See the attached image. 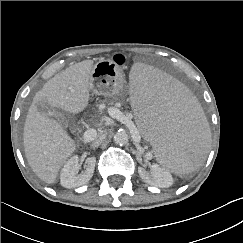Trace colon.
Returning a JSON list of instances; mask_svg holds the SVG:
<instances>
[{"instance_id":"obj_1","label":"colon","mask_w":243,"mask_h":243,"mask_svg":"<svg viewBox=\"0 0 243 243\" xmlns=\"http://www.w3.org/2000/svg\"><path fill=\"white\" fill-rule=\"evenodd\" d=\"M113 61L116 65L122 66L125 63V57L122 54H116L113 57Z\"/></svg>"}]
</instances>
